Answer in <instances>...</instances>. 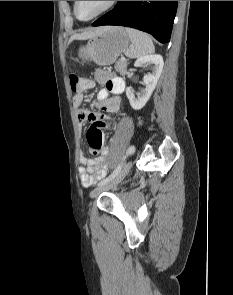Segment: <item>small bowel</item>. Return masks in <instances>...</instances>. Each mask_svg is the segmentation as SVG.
<instances>
[{
    "label": "small bowel",
    "mask_w": 233,
    "mask_h": 295,
    "mask_svg": "<svg viewBox=\"0 0 233 295\" xmlns=\"http://www.w3.org/2000/svg\"><path fill=\"white\" fill-rule=\"evenodd\" d=\"M98 83L104 84L105 89L102 90L95 98L94 104L103 112L115 113L120 109L121 99L118 95L123 93L125 82L120 77H115L106 71L99 70L96 73ZM108 93L113 96L108 97ZM84 95L77 93L73 97V102L76 107V117L80 124L89 121L91 126L99 128H107L110 125V118L106 114L91 113L86 108L82 107ZM107 152L104 151L99 157L87 159L84 154L80 155L79 178L83 186L93 185L98 180L105 177L107 174Z\"/></svg>",
    "instance_id": "1"
}]
</instances>
